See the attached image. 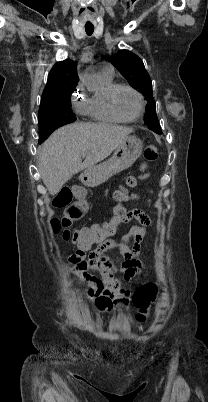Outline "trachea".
I'll use <instances>...</instances> for the list:
<instances>
[{
  "label": "trachea",
  "instance_id": "3493384b",
  "mask_svg": "<svg viewBox=\"0 0 208 402\" xmlns=\"http://www.w3.org/2000/svg\"><path fill=\"white\" fill-rule=\"evenodd\" d=\"M87 35H92L94 32V27H85Z\"/></svg>",
  "mask_w": 208,
  "mask_h": 402
}]
</instances>
